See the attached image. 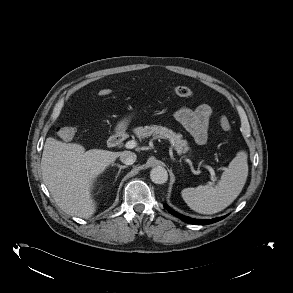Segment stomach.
<instances>
[{
	"label": "stomach",
	"instance_id": "stomach-1",
	"mask_svg": "<svg viewBox=\"0 0 293 293\" xmlns=\"http://www.w3.org/2000/svg\"><path fill=\"white\" fill-rule=\"evenodd\" d=\"M133 115L126 116L118 124V130H124L132 119Z\"/></svg>",
	"mask_w": 293,
	"mask_h": 293
}]
</instances>
